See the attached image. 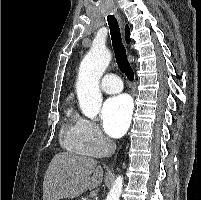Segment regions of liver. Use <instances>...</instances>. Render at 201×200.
Masks as SVG:
<instances>
[{
  "mask_svg": "<svg viewBox=\"0 0 201 200\" xmlns=\"http://www.w3.org/2000/svg\"><path fill=\"white\" fill-rule=\"evenodd\" d=\"M97 161L62 152L51 160L43 181V200L74 199L87 189L97 188L103 169Z\"/></svg>",
  "mask_w": 201,
  "mask_h": 200,
  "instance_id": "liver-1",
  "label": "liver"
}]
</instances>
